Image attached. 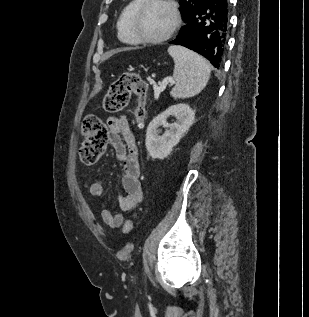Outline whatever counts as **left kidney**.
Wrapping results in <instances>:
<instances>
[{"label": "left kidney", "mask_w": 309, "mask_h": 317, "mask_svg": "<svg viewBox=\"0 0 309 317\" xmlns=\"http://www.w3.org/2000/svg\"><path fill=\"white\" fill-rule=\"evenodd\" d=\"M175 116L177 122L167 123V118ZM195 119V112L187 104H176L170 106L164 112L155 117L148 125L146 131V148L153 159H164L176 146L184 133H186ZM163 126L165 133L159 135L158 127Z\"/></svg>", "instance_id": "obj_1"}]
</instances>
